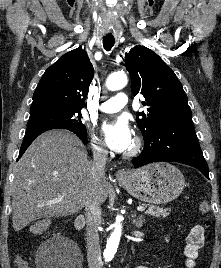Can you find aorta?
I'll return each mask as SVG.
<instances>
[{
	"instance_id": "1",
	"label": "aorta",
	"mask_w": 221,
	"mask_h": 268,
	"mask_svg": "<svg viewBox=\"0 0 221 268\" xmlns=\"http://www.w3.org/2000/svg\"><path fill=\"white\" fill-rule=\"evenodd\" d=\"M128 79L124 73H116L110 75L106 80V88L110 91H117L124 88L127 85ZM122 233L121 219L117 218L114 224V231L110 235L106 249L104 251V256L107 260H111L118 248L120 237Z\"/></svg>"
}]
</instances>
